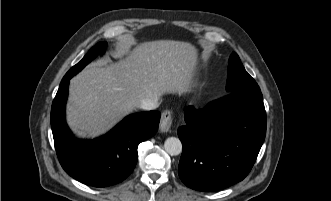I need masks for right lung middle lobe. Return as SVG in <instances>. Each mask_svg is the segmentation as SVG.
<instances>
[{
	"mask_svg": "<svg viewBox=\"0 0 331 201\" xmlns=\"http://www.w3.org/2000/svg\"><path fill=\"white\" fill-rule=\"evenodd\" d=\"M106 47V42H99L94 47H92L89 52L83 57V59L73 66L64 76L63 79H70L81 71L95 56L99 53H103ZM62 79V80H63Z\"/></svg>",
	"mask_w": 331,
	"mask_h": 201,
	"instance_id": "right-lung-middle-lobe-1",
	"label": "right lung middle lobe"
}]
</instances>
